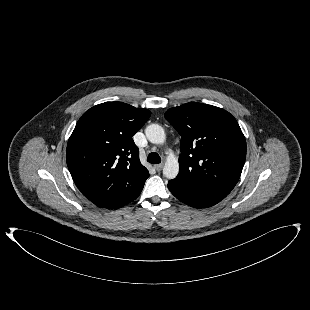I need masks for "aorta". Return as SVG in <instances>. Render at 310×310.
<instances>
[{
  "label": "aorta",
  "instance_id": "762f6f07",
  "mask_svg": "<svg viewBox=\"0 0 310 310\" xmlns=\"http://www.w3.org/2000/svg\"><path fill=\"white\" fill-rule=\"evenodd\" d=\"M147 139L153 144H163L166 134L162 126L158 124H150L145 129ZM179 172L178 160L170 154L163 168V175L168 179H174Z\"/></svg>",
  "mask_w": 310,
  "mask_h": 310
}]
</instances>
